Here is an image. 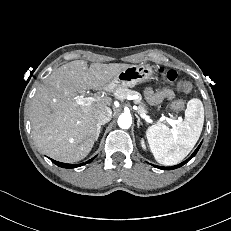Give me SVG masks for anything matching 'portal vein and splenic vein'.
Wrapping results in <instances>:
<instances>
[{
  "label": "portal vein and splenic vein",
  "mask_w": 231,
  "mask_h": 231,
  "mask_svg": "<svg viewBox=\"0 0 231 231\" xmlns=\"http://www.w3.org/2000/svg\"><path fill=\"white\" fill-rule=\"evenodd\" d=\"M96 99L93 97H88V98H83V99H78L77 103L79 105H86V104H91L93 101H95ZM165 120L173 127L175 128L176 124L181 122V119L178 120H173L171 118L166 117Z\"/></svg>",
  "instance_id": "obj_1"
}]
</instances>
